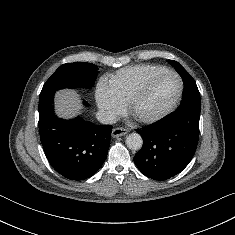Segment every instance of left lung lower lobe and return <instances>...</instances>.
I'll use <instances>...</instances> for the list:
<instances>
[{
    "mask_svg": "<svg viewBox=\"0 0 235 235\" xmlns=\"http://www.w3.org/2000/svg\"><path fill=\"white\" fill-rule=\"evenodd\" d=\"M200 108L184 107L137 129L143 146L134 163L147 177L167 180L180 173L193 158L199 138Z\"/></svg>",
    "mask_w": 235,
    "mask_h": 235,
    "instance_id": "0a47b994",
    "label": "left lung lower lobe"
}]
</instances>
